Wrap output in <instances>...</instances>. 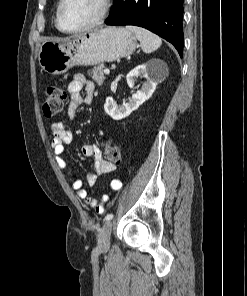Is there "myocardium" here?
I'll return each instance as SVG.
<instances>
[{
	"mask_svg": "<svg viewBox=\"0 0 247 296\" xmlns=\"http://www.w3.org/2000/svg\"><path fill=\"white\" fill-rule=\"evenodd\" d=\"M65 2L66 0L59 1L56 9V18H55L56 27L58 28L59 31L65 34H79L98 27L106 19L109 12V8H110L109 0H99L98 2H99L100 10L97 17L92 22L78 29L67 30L61 26V20H60L61 9Z\"/></svg>",
	"mask_w": 247,
	"mask_h": 296,
	"instance_id": "myocardium-1",
	"label": "myocardium"
}]
</instances>
